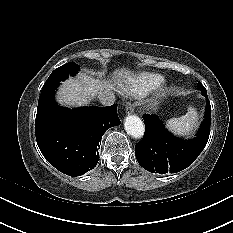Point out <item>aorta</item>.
<instances>
[{
	"mask_svg": "<svg viewBox=\"0 0 233 233\" xmlns=\"http://www.w3.org/2000/svg\"><path fill=\"white\" fill-rule=\"evenodd\" d=\"M124 128L133 138H142L145 132L143 121L136 115H128L125 119Z\"/></svg>",
	"mask_w": 233,
	"mask_h": 233,
	"instance_id": "1",
	"label": "aorta"
}]
</instances>
